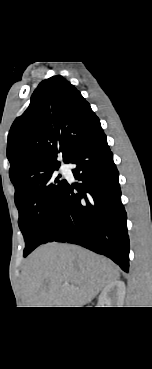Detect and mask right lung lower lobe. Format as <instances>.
I'll return each instance as SVG.
<instances>
[{
	"mask_svg": "<svg viewBox=\"0 0 152 369\" xmlns=\"http://www.w3.org/2000/svg\"><path fill=\"white\" fill-rule=\"evenodd\" d=\"M68 163L77 165L72 172L81 183H67L43 244H78L109 257L128 272L127 215L121 203L119 173L103 130L84 142Z\"/></svg>",
	"mask_w": 152,
	"mask_h": 369,
	"instance_id": "1",
	"label": "right lung lower lobe"
}]
</instances>
